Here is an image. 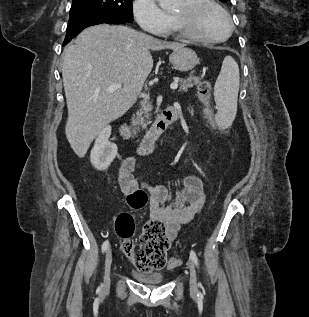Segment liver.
I'll list each match as a JSON object with an SVG mask.
<instances>
[{"label": "liver", "instance_id": "1", "mask_svg": "<svg viewBox=\"0 0 309 317\" xmlns=\"http://www.w3.org/2000/svg\"><path fill=\"white\" fill-rule=\"evenodd\" d=\"M184 46L127 26L100 24L82 31L75 43L65 48V133L77 156L84 157L100 131L136 102L153 68L150 50H176ZM114 83L121 87L107 91Z\"/></svg>", "mask_w": 309, "mask_h": 317}]
</instances>
